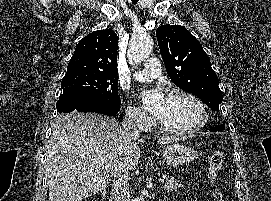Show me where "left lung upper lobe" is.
Here are the masks:
<instances>
[{
	"label": "left lung upper lobe",
	"mask_w": 271,
	"mask_h": 201,
	"mask_svg": "<svg viewBox=\"0 0 271 201\" xmlns=\"http://www.w3.org/2000/svg\"><path fill=\"white\" fill-rule=\"evenodd\" d=\"M156 36L170 79L179 88L196 95L209 108L218 111L223 95L217 75L200 42L180 25H162L156 30Z\"/></svg>",
	"instance_id": "obj_1"
}]
</instances>
